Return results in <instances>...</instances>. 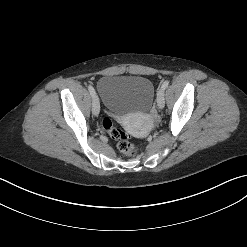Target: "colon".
I'll return each instance as SVG.
<instances>
[{
	"label": "colon",
	"mask_w": 247,
	"mask_h": 247,
	"mask_svg": "<svg viewBox=\"0 0 247 247\" xmlns=\"http://www.w3.org/2000/svg\"><path fill=\"white\" fill-rule=\"evenodd\" d=\"M103 129L110 135V137L117 142V149L124 155L136 154L140 146L130 139V136L123 130L115 127L110 118H104L102 121Z\"/></svg>",
	"instance_id": "obj_1"
}]
</instances>
